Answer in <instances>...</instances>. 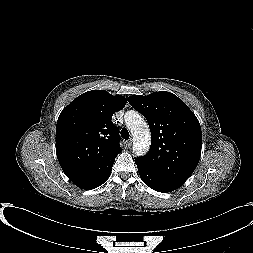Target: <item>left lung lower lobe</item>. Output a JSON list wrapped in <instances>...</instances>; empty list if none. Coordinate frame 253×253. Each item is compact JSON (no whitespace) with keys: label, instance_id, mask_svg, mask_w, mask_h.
<instances>
[{"label":"left lung lower lobe","instance_id":"0a47b994","mask_svg":"<svg viewBox=\"0 0 253 253\" xmlns=\"http://www.w3.org/2000/svg\"><path fill=\"white\" fill-rule=\"evenodd\" d=\"M135 163L138 167L139 175L143 182L151 189L158 192H171L181 187V184L164 178L149 169H147L139 160L136 158Z\"/></svg>","mask_w":253,"mask_h":253}]
</instances>
